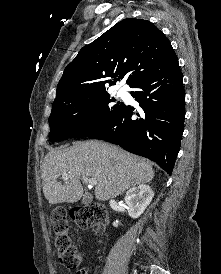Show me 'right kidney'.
I'll use <instances>...</instances> for the list:
<instances>
[{
    "instance_id": "1",
    "label": "right kidney",
    "mask_w": 221,
    "mask_h": 274,
    "mask_svg": "<svg viewBox=\"0 0 221 274\" xmlns=\"http://www.w3.org/2000/svg\"><path fill=\"white\" fill-rule=\"evenodd\" d=\"M153 196L154 191L145 184L129 189L124 198L129 216L138 218L150 204Z\"/></svg>"
}]
</instances>
